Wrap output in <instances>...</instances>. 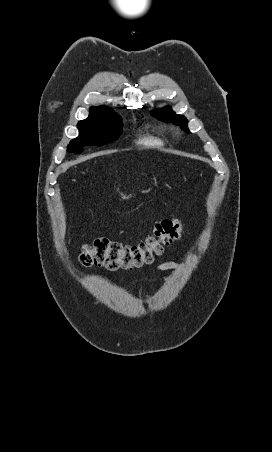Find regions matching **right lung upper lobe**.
I'll use <instances>...</instances> for the list:
<instances>
[{"label":"right lung upper lobe","instance_id":"obj_1","mask_svg":"<svg viewBox=\"0 0 272 452\" xmlns=\"http://www.w3.org/2000/svg\"><path fill=\"white\" fill-rule=\"evenodd\" d=\"M108 111H111V109H109L108 107H105V106L91 107L89 117L82 121H86V120L101 116V115L107 113ZM82 121H80V122H82Z\"/></svg>","mask_w":272,"mask_h":452}]
</instances>
